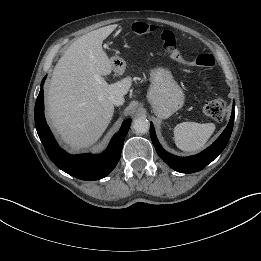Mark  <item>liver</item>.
<instances>
[{"instance_id":"1","label":"liver","mask_w":261,"mask_h":261,"mask_svg":"<svg viewBox=\"0 0 261 261\" xmlns=\"http://www.w3.org/2000/svg\"><path fill=\"white\" fill-rule=\"evenodd\" d=\"M111 33L107 27L74 41L56 64L47 91L48 118L62 140L73 150L93 145L114 114L110 95H126L131 78L108 84L103 76L113 64L102 48Z\"/></svg>"}]
</instances>
